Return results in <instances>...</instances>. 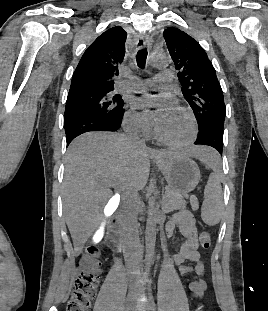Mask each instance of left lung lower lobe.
I'll use <instances>...</instances> for the list:
<instances>
[{
    "mask_svg": "<svg viewBox=\"0 0 268 311\" xmlns=\"http://www.w3.org/2000/svg\"><path fill=\"white\" fill-rule=\"evenodd\" d=\"M223 125L224 120L221 119L216 127L200 130L195 144H209V146L215 148L220 154H222Z\"/></svg>",
    "mask_w": 268,
    "mask_h": 311,
    "instance_id": "1",
    "label": "left lung lower lobe"
}]
</instances>
